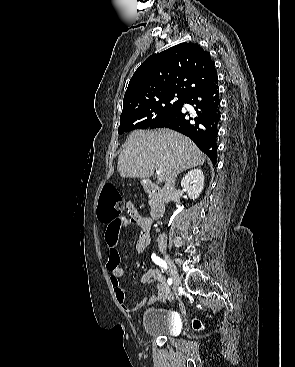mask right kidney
Returning <instances> with one entry per match:
<instances>
[{
	"label": "right kidney",
	"mask_w": 295,
	"mask_h": 367,
	"mask_svg": "<svg viewBox=\"0 0 295 367\" xmlns=\"http://www.w3.org/2000/svg\"><path fill=\"white\" fill-rule=\"evenodd\" d=\"M181 186L187 192L189 198L197 199L204 188L203 171L201 169L189 171L181 181Z\"/></svg>",
	"instance_id": "obj_1"
}]
</instances>
